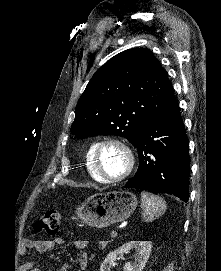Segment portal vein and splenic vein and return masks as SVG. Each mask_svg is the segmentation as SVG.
<instances>
[{
    "mask_svg": "<svg viewBox=\"0 0 221 271\" xmlns=\"http://www.w3.org/2000/svg\"><path fill=\"white\" fill-rule=\"evenodd\" d=\"M117 231H111V237H116Z\"/></svg>",
    "mask_w": 221,
    "mask_h": 271,
    "instance_id": "portal-vein-and-splenic-vein-1",
    "label": "portal vein and splenic vein"
}]
</instances>
